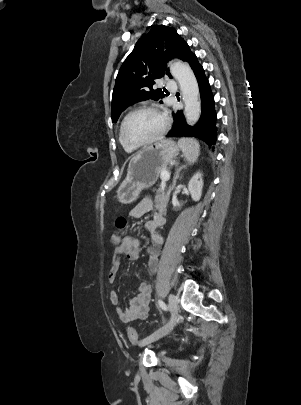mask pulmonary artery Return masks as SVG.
<instances>
[{
  "label": "pulmonary artery",
  "mask_w": 301,
  "mask_h": 405,
  "mask_svg": "<svg viewBox=\"0 0 301 405\" xmlns=\"http://www.w3.org/2000/svg\"><path fill=\"white\" fill-rule=\"evenodd\" d=\"M166 87H167L169 90L174 91V90L176 89V83H175L173 80H168V81L166 82Z\"/></svg>",
  "instance_id": "obj_1"
}]
</instances>
